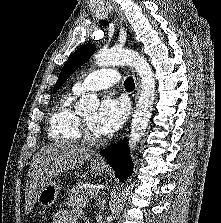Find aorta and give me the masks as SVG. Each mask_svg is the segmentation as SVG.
Returning a JSON list of instances; mask_svg holds the SVG:
<instances>
[{"mask_svg": "<svg viewBox=\"0 0 221 223\" xmlns=\"http://www.w3.org/2000/svg\"><path fill=\"white\" fill-rule=\"evenodd\" d=\"M98 66L129 65L135 69L141 80V94L134 111L129 145L134 150L140 142L150 119L155 95V79L152 68L148 62L137 52L125 49L101 50L95 55ZM99 100L93 95H83L76 103L77 112L96 111Z\"/></svg>", "mask_w": 221, "mask_h": 223, "instance_id": "762f6f07", "label": "aorta"}]
</instances>
